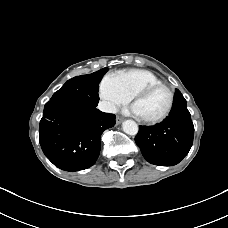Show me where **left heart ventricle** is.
Instances as JSON below:
<instances>
[{"label": "left heart ventricle", "instance_id": "left-heart-ventricle-1", "mask_svg": "<svg viewBox=\"0 0 228 228\" xmlns=\"http://www.w3.org/2000/svg\"><path fill=\"white\" fill-rule=\"evenodd\" d=\"M169 101V92L165 88H159L138 100L134 107L140 117L155 118L166 110Z\"/></svg>", "mask_w": 228, "mask_h": 228}]
</instances>
